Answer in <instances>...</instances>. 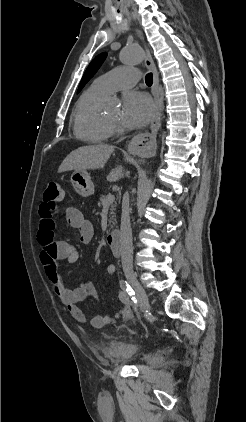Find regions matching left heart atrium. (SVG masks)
Returning <instances> with one entry per match:
<instances>
[{
  "instance_id": "1",
  "label": "left heart atrium",
  "mask_w": 246,
  "mask_h": 422,
  "mask_svg": "<svg viewBox=\"0 0 246 422\" xmlns=\"http://www.w3.org/2000/svg\"><path fill=\"white\" fill-rule=\"evenodd\" d=\"M154 106L150 97L142 92H129L124 96L121 123L129 129L140 128L152 118Z\"/></svg>"
}]
</instances>
